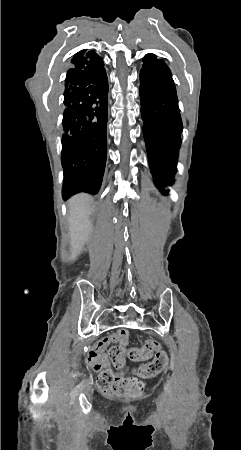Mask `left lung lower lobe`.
Returning a JSON list of instances; mask_svg holds the SVG:
<instances>
[{
  "instance_id": "0a47b994",
  "label": "left lung lower lobe",
  "mask_w": 241,
  "mask_h": 450,
  "mask_svg": "<svg viewBox=\"0 0 241 450\" xmlns=\"http://www.w3.org/2000/svg\"><path fill=\"white\" fill-rule=\"evenodd\" d=\"M140 100L151 172L156 186L164 192L163 187L171 184L176 171L183 125L171 71L154 54L144 57Z\"/></svg>"
}]
</instances>
